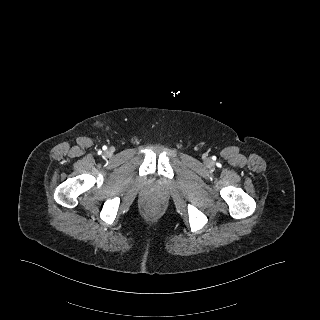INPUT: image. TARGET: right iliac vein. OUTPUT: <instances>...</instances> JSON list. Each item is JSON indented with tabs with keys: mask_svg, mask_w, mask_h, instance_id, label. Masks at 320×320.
Wrapping results in <instances>:
<instances>
[{
	"mask_svg": "<svg viewBox=\"0 0 320 320\" xmlns=\"http://www.w3.org/2000/svg\"><path fill=\"white\" fill-rule=\"evenodd\" d=\"M112 154V151L111 150H107L106 151V155H111Z\"/></svg>",
	"mask_w": 320,
	"mask_h": 320,
	"instance_id": "obj_1",
	"label": "right iliac vein"
}]
</instances>
